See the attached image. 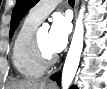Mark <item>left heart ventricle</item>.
<instances>
[{
  "instance_id": "obj_1",
  "label": "left heart ventricle",
  "mask_w": 107,
  "mask_h": 89,
  "mask_svg": "<svg viewBox=\"0 0 107 89\" xmlns=\"http://www.w3.org/2000/svg\"><path fill=\"white\" fill-rule=\"evenodd\" d=\"M39 41L42 49L46 54H53V52L49 48V31L48 30L39 31Z\"/></svg>"
}]
</instances>
